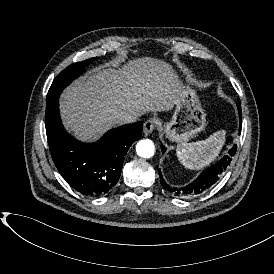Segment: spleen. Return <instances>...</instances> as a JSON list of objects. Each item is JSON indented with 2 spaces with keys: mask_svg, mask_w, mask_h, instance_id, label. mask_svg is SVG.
<instances>
[{
  "mask_svg": "<svg viewBox=\"0 0 274 274\" xmlns=\"http://www.w3.org/2000/svg\"><path fill=\"white\" fill-rule=\"evenodd\" d=\"M225 134V130H220L206 140L178 145V160L185 168L191 170H199L209 165L218 157L225 143Z\"/></svg>",
  "mask_w": 274,
  "mask_h": 274,
  "instance_id": "obj_1",
  "label": "spleen"
}]
</instances>
